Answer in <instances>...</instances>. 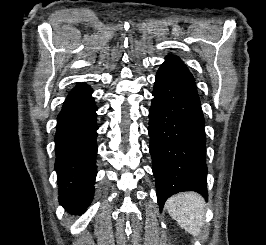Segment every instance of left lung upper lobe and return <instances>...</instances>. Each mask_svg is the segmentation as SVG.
<instances>
[{
  "mask_svg": "<svg viewBox=\"0 0 266 245\" xmlns=\"http://www.w3.org/2000/svg\"><path fill=\"white\" fill-rule=\"evenodd\" d=\"M168 57H174V58H177V59H179L178 57H175V56H168Z\"/></svg>",
  "mask_w": 266,
  "mask_h": 245,
  "instance_id": "1",
  "label": "left lung upper lobe"
}]
</instances>
